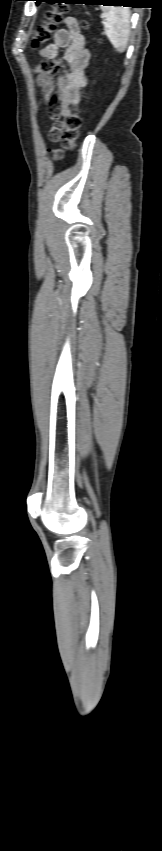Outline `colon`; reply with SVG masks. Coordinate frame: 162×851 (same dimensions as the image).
<instances>
[{
  "mask_svg": "<svg viewBox=\"0 0 162 851\" xmlns=\"http://www.w3.org/2000/svg\"><path fill=\"white\" fill-rule=\"evenodd\" d=\"M65 11L66 9L64 7H57L45 13V21L33 32L31 40V46L33 48H39L50 39ZM83 26L87 27L88 23L83 22ZM81 113V107L75 108L74 111L65 116L54 127L52 133L61 143L60 149L52 151L55 160L63 159L65 152L72 150L75 146L82 126Z\"/></svg>",
  "mask_w": 162,
  "mask_h": 851,
  "instance_id": "1",
  "label": "colon"
}]
</instances>
